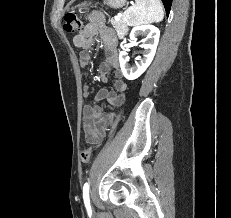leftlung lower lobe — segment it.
Masks as SVG:
<instances>
[{"instance_id":"left-lung-lower-lobe-1","label":"left lung lower lobe","mask_w":231,"mask_h":218,"mask_svg":"<svg viewBox=\"0 0 231 218\" xmlns=\"http://www.w3.org/2000/svg\"><path fill=\"white\" fill-rule=\"evenodd\" d=\"M162 2L164 4L167 15H169L171 5H172V0H162Z\"/></svg>"}]
</instances>
